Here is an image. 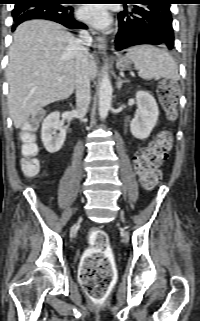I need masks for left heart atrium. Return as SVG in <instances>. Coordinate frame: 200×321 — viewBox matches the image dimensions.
<instances>
[{"label": "left heart atrium", "mask_w": 200, "mask_h": 321, "mask_svg": "<svg viewBox=\"0 0 200 321\" xmlns=\"http://www.w3.org/2000/svg\"><path fill=\"white\" fill-rule=\"evenodd\" d=\"M79 15L82 20L96 27H103L108 23V14L101 5L85 6L80 9Z\"/></svg>", "instance_id": "left-heart-atrium-1"}]
</instances>
